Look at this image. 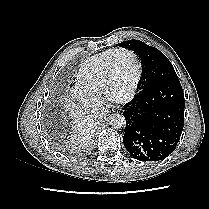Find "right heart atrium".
<instances>
[{
	"instance_id": "d8ad5b80",
	"label": "right heart atrium",
	"mask_w": 209,
	"mask_h": 209,
	"mask_svg": "<svg viewBox=\"0 0 209 209\" xmlns=\"http://www.w3.org/2000/svg\"><path fill=\"white\" fill-rule=\"evenodd\" d=\"M72 95L79 105L87 110L96 109L103 104L100 97L91 94L78 86L73 89Z\"/></svg>"
}]
</instances>
